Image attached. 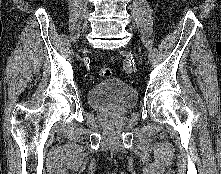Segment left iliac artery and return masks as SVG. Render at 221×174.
Returning a JSON list of instances; mask_svg holds the SVG:
<instances>
[{"label": "left iliac artery", "mask_w": 221, "mask_h": 174, "mask_svg": "<svg viewBox=\"0 0 221 174\" xmlns=\"http://www.w3.org/2000/svg\"><path fill=\"white\" fill-rule=\"evenodd\" d=\"M123 68L127 73H131L132 72V65L130 60H124L123 61Z\"/></svg>", "instance_id": "44dca946"}]
</instances>
